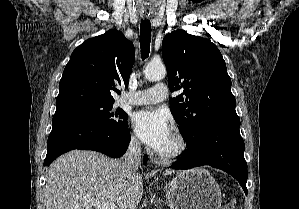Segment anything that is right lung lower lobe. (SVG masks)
<instances>
[{"label":"right lung lower lobe","instance_id":"obj_1","mask_svg":"<svg viewBox=\"0 0 299 209\" xmlns=\"http://www.w3.org/2000/svg\"><path fill=\"white\" fill-rule=\"evenodd\" d=\"M52 125L44 166L74 149L94 150L118 158L126 152L131 138L127 124L109 128L69 114L54 115Z\"/></svg>","mask_w":299,"mask_h":209}]
</instances>
